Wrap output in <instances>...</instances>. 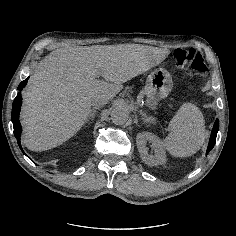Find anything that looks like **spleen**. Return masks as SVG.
Instances as JSON below:
<instances>
[{
	"label": "spleen",
	"mask_w": 236,
	"mask_h": 236,
	"mask_svg": "<svg viewBox=\"0 0 236 236\" xmlns=\"http://www.w3.org/2000/svg\"><path fill=\"white\" fill-rule=\"evenodd\" d=\"M165 147L174 156L186 157L196 153L204 142L207 131L199 109L191 103L183 104L168 124Z\"/></svg>",
	"instance_id": "obj_1"
}]
</instances>
